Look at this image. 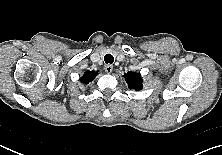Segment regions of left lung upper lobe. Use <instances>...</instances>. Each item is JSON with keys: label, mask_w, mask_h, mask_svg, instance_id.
<instances>
[{"label": "left lung upper lobe", "mask_w": 222, "mask_h": 155, "mask_svg": "<svg viewBox=\"0 0 222 155\" xmlns=\"http://www.w3.org/2000/svg\"><path fill=\"white\" fill-rule=\"evenodd\" d=\"M126 82L129 85V88H133L135 90H140L142 88V79L141 74L136 72H128L124 75Z\"/></svg>", "instance_id": "left-lung-upper-lobe-1"}]
</instances>
